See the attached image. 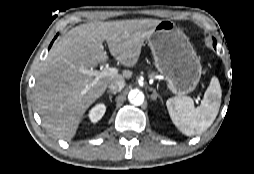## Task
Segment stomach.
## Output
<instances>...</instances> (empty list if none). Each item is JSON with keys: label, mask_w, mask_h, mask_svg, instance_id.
I'll return each instance as SVG.
<instances>
[{"label": "stomach", "mask_w": 254, "mask_h": 174, "mask_svg": "<svg viewBox=\"0 0 254 174\" xmlns=\"http://www.w3.org/2000/svg\"><path fill=\"white\" fill-rule=\"evenodd\" d=\"M158 71L165 76L170 90L181 96L197 87L202 67L185 33L170 20L156 25L147 37Z\"/></svg>", "instance_id": "1"}]
</instances>
